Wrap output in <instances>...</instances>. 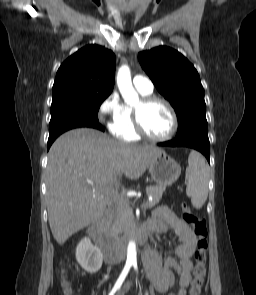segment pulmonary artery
Masks as SVG:
<instances>
[{
	"label": "pulmonary artery",
	"mask_w": 256,
	"mask_h": 295,
	"mask_svg": "<svg viewBox=\"0 0 256 295\" xmlns=\"http://www.w3.org/2000/svg\"><path fill=\"white\" fill-rule=\"evenodd\" d=\"M133 85L139 92L146 94L152 93L154 88L152 81L143 75H136L133 79Z\"/></svg>",
	"instance_id": "pulmonary-artery-1"
}]
</instances>
